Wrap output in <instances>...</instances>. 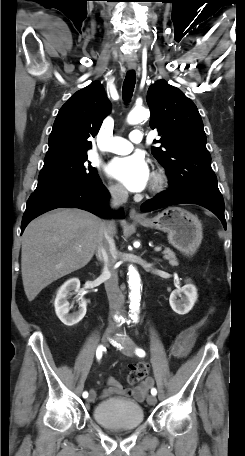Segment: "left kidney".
<instances>
[{
  "label": "left kidney",
  "instance_id": "5707ae66",
  "mask_svg": "<svg viewBox=\"0 0 245 456\" xmlns=\"http://www.w3.org/2000/svg\"><path fill=\"white\" fill-rule=\"evenodd\" d=\"M196 301L197 289L193 284H186L182 288L175 289L169 298L171 308L179 315L187 314Z\"/></svg>",
  "mask_w": 245,
  "mask_h": 456
}]
</instances>
